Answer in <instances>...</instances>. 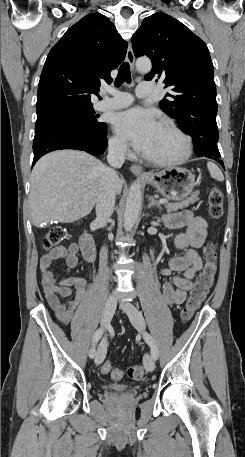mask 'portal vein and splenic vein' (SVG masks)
<instances>
[{
  "instance_id": "18ae733b",
  "label": "portal vein and splenic vein",
  "mask_w": 245,
  "mask_h": 457,
  "mask_svg": "<svg viewBox=\"0 0 245 457\" xmlns=\"http://www.w3.org/2000/svg\"><path fill=\"white\" fill-rule=\"evenodd\" d=\"M159 202H168L167 198H160Z\"/></svg>"
}]
</instances>
